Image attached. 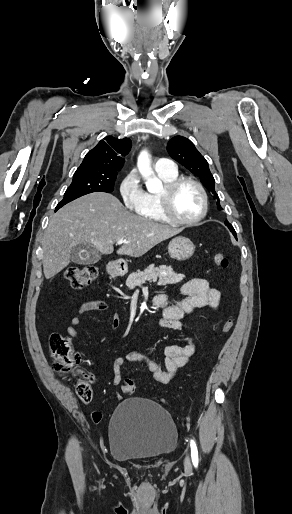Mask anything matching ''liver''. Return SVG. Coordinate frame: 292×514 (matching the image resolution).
<instances>
[{"label":"liver","instance_id":"1","mask_svg":"<svg viewBox=\"0 0 292 514\" xmlns=\"http://www.w3.org/2000/svg\"><path fill=\"white\" fill-rule=\"evenodd\" d=\"M182 230L130 214L111 194H87L51 214L42 242L44 276L49 280L66 268L77 244L92 246L100 254H112L113 244L126 240L117 254L138 258Z\"/></svg>","mask_w":292,"mask_h":514}]
</instances>
